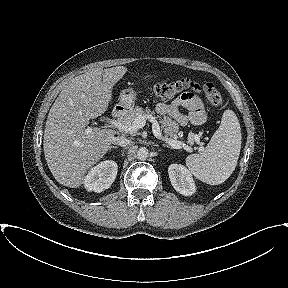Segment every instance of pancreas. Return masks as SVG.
<instances>
[{"mask_svg":"<svg viewBox=\"0 0 288 288\" xmlns=\"http://www.w3.org/2000/svg\"><path fill=\"white\" fill-rule=\"evenodd\" d=\"M149 112H150L149 109L144 110L141 107H135L134 109L126 112V114L123 117H121L119 121L123 124L130 125L139 115H146ZM159 123L161 125L160 128L163 131L166 138L170 140H176L178 138L179 133L178 123L174 122L169 117H163V119L159 117ZM193 137L194 134H191L190 139H193Z\"/></svg>","mask_w":288,"mask_h":288,"instance_id":"pancreas-1","label":"pancreas"}]
</instances>
